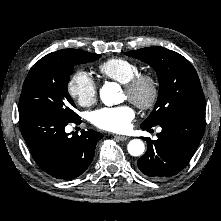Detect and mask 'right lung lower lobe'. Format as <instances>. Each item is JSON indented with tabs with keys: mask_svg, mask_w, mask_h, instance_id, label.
<instances>
[{
	"mask_svg": "<svg viewBox=\"0 0 221 221\" xmlns=\"http://www.w3.org/2000/svg\"><path fill=\"white\" fill-rule=\"evenodd\" d=\"M20 130L38 166L57 179H74L90 165L97 142L103 135L89 129L65 133L67 121L55 114L30 109L19 113Z\"/></svg>",
	"mask_w": 221,
	"mask_h": 221,
	"instance_id": "1",
	"label": "right lung lower lobe"
}]
</instances>
